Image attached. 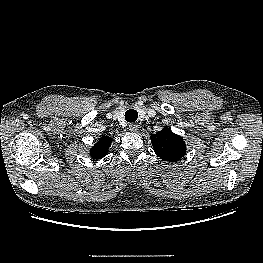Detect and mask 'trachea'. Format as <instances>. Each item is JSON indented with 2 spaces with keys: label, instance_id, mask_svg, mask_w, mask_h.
<instances>
[{
  "label": "trachea",
  "instance_id": "1",
  "mask_svg": "<svg viewBox=\"0 0 263 263\" xmlns=\"http://www.w3.org/2000/svg\"><path fill=\"white\" fill-rule=\"evenodd\" d=\"M125 120L127 121V122H131V123H133V122H135L136 120H137V118H138V112L136 111V110H134V109H129V110H127L126 112H125Z\"/></svg>",
  "mask_w": 263,
  "mask_h": 263
}]
</instances>
